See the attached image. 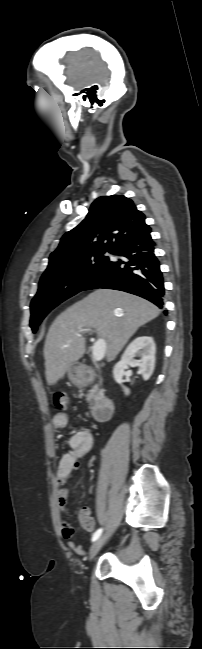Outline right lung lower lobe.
<instances>
[{
	"mask_svg": "<svg viewBox=\"0 0 202 649\" xmlns=\"http://www.w3.org/2000/svg\"><path fill=\"white\" fill-rule=\"evenodd\" d=\"M148 228L119 244L112 253L125 261H110L86 285L84 290L107 288L143 297L159 308L164 304V283L160 264L154 254V242Z\"/></svg>",
	"mask_w": 202,
	"mask_h": 649,
	"instance_id": "obj_1",
	"label": "right lung lower lobe"
}]
</instances>
